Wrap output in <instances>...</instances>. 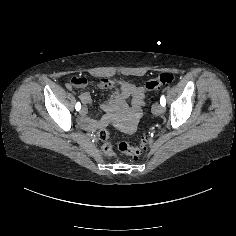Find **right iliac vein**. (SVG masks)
<instances>
[{
	"instance_id": "63e3f726",
	"label": "right iliac vein",
	"mask_w": 236,
	"mask_h": 236,
	"mask_svg": "<svg viewBox=\"0 0 236 236\" xmlns=\"http://www.w3.org/2000/svg\"><path fill=\"white\" fill-rule=\"evenodd\" d=\"M87 113V110L85 107H82V109L80 110V114L81 115H85Z\"/></svg>"
}]
</instances>
